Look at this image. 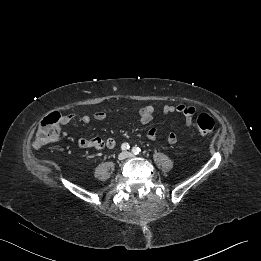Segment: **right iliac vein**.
<instances>
[{
	"label": "right iliac vein",
	"mask_w": 261,
	"mask_h": 261,
	"mask_svg": "<svg viewBox=\"0 0 261 261\" xmlns=\"http://www.w3.org/2000/svg\"><path fill=\"white\" fill-rule=\"evenodd\" d=\"M125 158H126V153H124V152H121V153L118 155V159H119L120 161L124 160Z\"/></svg>",
	"instance_id": "63e3f726"
}]
</instances>
